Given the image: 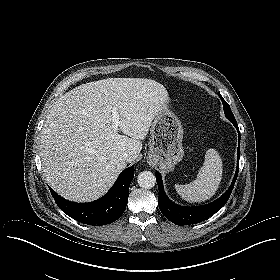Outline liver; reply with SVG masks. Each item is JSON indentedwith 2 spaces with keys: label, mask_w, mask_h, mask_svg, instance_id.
I'll return each mask as SVG.
<instances>
[{
  "label": "liver",
  "mask_w": 280,
  "mask_h": 280,
  "mask_svg": "<svg viewBox=\"0 0 280 280\" xmlns=\"http://www.w3.org/2000/svg\"><path fill=\"white\" fill-rule=\"evenodd\" d=\"M168 102L166 88L144 78H107L60 96L40 136L45 180L71 201L103 196L127 163L139 156L152 121ZM114 108L124 135L112 128ZM125 152L130 161L123 160Z\"/></svg>",
  "instance_id": "obj_1"
}]
</instances>
